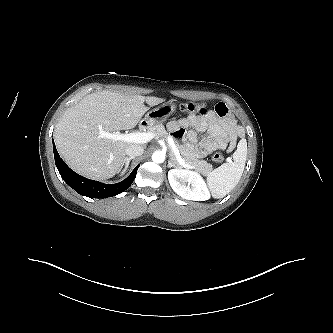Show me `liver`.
<instances>
[{"label":"liver","instance_id":"obj_1","mask_svg":"<svg viewBox=\"0 0 333 333\" xmlns=\"http://www.w3.org/2000/svg\"><path fill=\"white\" fill-rule=\"evenodd\" d=\"M163 101L108 90L87 95L66 110L55 126L58 152L77 173L96 180L113 177L124 165L126 148L131 144L101 137V131L134 128L149 107Z\"/></svg>","mask_w":333,"mask_h":333}]
</instances>
